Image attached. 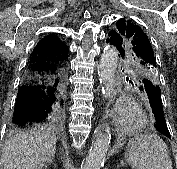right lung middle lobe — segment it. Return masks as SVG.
Returning a JSON list of instances; mask_svg holds the SVG:
<instances>
[{
  "label": "right lung middle lobe",
  "mask_w": 177,
  "mask_h": 169,
  "mask_svg": "<svg viewBox=\"0 0 177 169\" xmlns=\"http://www.w3.org/2000/svg\"><path fill=\"white\" fill-rule=\"evenodd\" d=\"M63 123H64V120L61 121V122H58V123L56 124V126H57V127H62V126H63Z\"/></svg>",
  "instance_id": "obj_1"
}]
</instances>
